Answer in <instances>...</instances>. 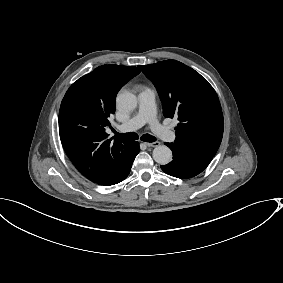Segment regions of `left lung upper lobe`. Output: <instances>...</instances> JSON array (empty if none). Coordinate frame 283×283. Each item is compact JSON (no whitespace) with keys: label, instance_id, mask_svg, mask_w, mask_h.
<instances>
[{"label":"left lung upper lobe","instance_id":"1","mask_svg":"<svg viewBox=\"0 0 283 283\" xmlns=\"http://www.w3.org/2000/svg\"><path fill=\"white\" fill-rule=\"evenodd\" d=\"M155 85L165 117H178L174 144L214 157L223 136V114L213 87L176 60L140 65Z\"/></svg>","mask_w":283,"mask_h":283}]
</instances>
